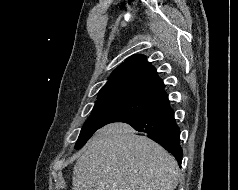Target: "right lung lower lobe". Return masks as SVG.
<instances>
[{"mask_svg": "<svg viewBox=\"0 0 238 190\" xmlns=\"http://www.w3.org/2000/svg\"><path fill=\"white\" fill-rule=\"evenodd\" d=\"M123 122L139 132L147 133L148 137L168 150L181 165L183 152L180 146V129L168 96L145 112Z\"/></svg>", "mask_w": 238, "mask_h": 190, "instance_id": "obj_1", "label": "right lung lower lobe"}]
</instances>
